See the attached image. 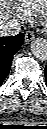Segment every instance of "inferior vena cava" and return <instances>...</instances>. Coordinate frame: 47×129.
Here are the masks:
<instances>
[{
  "mask_svg": "<svg viewBox=\"0 0 47 129\" xmlns=\"http://www.w3.org/2000/svg\"><path fill=\"white\" fill-rule=\"evenodd\" d=\"M21 30V24L18 20L9 19L2 22L0 25V35L1 36H14L19 34Z\"/></svg>",
  "mask_w": 47,
  "mask_h": 129,
  "instance_id": "602c4592",
  "label": "inferior vena cava"
}]
</instances>
